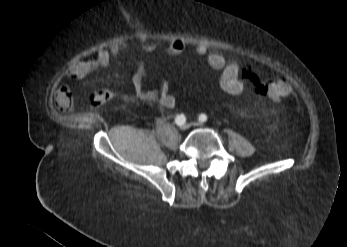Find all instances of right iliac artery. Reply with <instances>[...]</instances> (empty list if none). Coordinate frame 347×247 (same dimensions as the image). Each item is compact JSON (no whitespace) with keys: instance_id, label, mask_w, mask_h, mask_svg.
Segmentation results:
<instances>
[{"instance_id":"obj_1","label":"right iliac artery","mask_w":347,"mask_h":247,"mask_svg":"<svg viewBox=\"0 0 347 247\" xmlns=\"http://www.w3.org/2000/svg\"><path fill=\"white\" fill-rule=\"evenodd\" d=\"M186 122V117L184 114H179L176 116L175 118V123L178 125V126H182L184 125Z\"/></svg>"}]
</instances>
